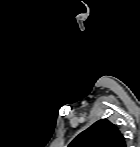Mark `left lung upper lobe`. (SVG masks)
I'll use <instances>...</instances> for the list:
<instances>
[{"label": "left lung upper lobe", "mask_w": 140, "mask_h": 147, "mask_svg": "<svg viewBox=\"0 0 140 147\" xmlns=\"http://www.w3.org/2000/svg\"><path fill=\"white\" fill-rule=\"evenodd\" d=\"M69 147H126V141L116 125L101 119L80 133Z\"/></svg>", "instance_id": "5c2ea615"}]
</instances>
